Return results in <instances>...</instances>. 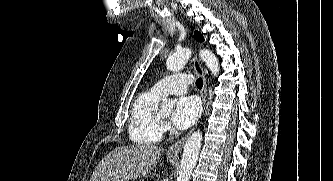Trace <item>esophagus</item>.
Segmentation results:
<instances>
[{"label": "esophagus", "instance_id": "esophagus-1", "mask_svg": "<svg viewBox=\"0 0 333 181\" xmlns=\"http://www.w3.org/2000/svg\"><path fill=\"white\" fill-rule=\"evenodd\" d=\"M194 69L199 75H201V77L203 79V89L201 91V96H202V101H203V107L205 109L206 101H207V80H206V74L203 70V67H202L197 55H195V57H194ZM193 130H194V128L189 133H187L185 136H183L181 139L177 140L175 143L170 145L169 152L172 154L179 153L182 150L185 141L190 136V134L192 133Z\"/></svg>", "mask_w": 333, "mask_h": 181}]
</instances>
